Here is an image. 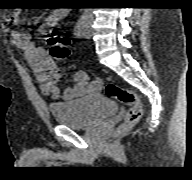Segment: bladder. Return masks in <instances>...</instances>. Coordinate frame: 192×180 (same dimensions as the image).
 I'll return each mask as SVG.
<instances>
[{
  "label": "bladder",
  "instance_id": "bladder-1",
  "mask_svg": "<svg viewBox=\"0 0 192 180\" xmlns=\"http://www.w3.org/2000/svg\"><path fill=\"white\" fill-rule=\"evenodd\" d=\"M52 117L61 125L80 129L112 116L116 104L101 94L49 104Z\"/></svg>",
  "mask_w": 192,
  "mask_h": 180
}]
</instances>
